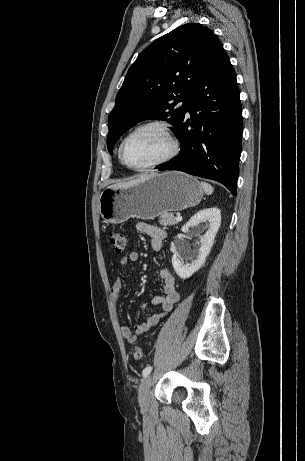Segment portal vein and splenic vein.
<instances>
[{"mask_svg": "<svg viewBox=\"0 0 305 461\" xmlns=\"http://www.w3.org/2000/svg\"><path fill=\"white\" fill-rule=\"evenodd\" d=\"M176 220H177V221H182V216L177 215Z\"/></svg>", "mask_w": 305, "mask_h": 461, "instance_id": "portal-vein-and-splenic-vein-1", "label": "portal vein and splenic vein"}]
</instances>
